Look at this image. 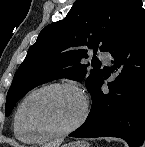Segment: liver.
<instances>
[{"instance_id": "6515ba94", "label": "liver", "mask_w": 145, "mask_h": 147, "mask_svg": "<svg viewBox=\"0 0 145 147\" xmlns=\"http://www.w3.org/2000/svg\"><path fill=\"white\" fill-rule=\"evenodd\" d=\"M62 140H56L54 142H49L47 144H45L43 147H59V145L61 144Z\"/></svg>"}]
</instances>
